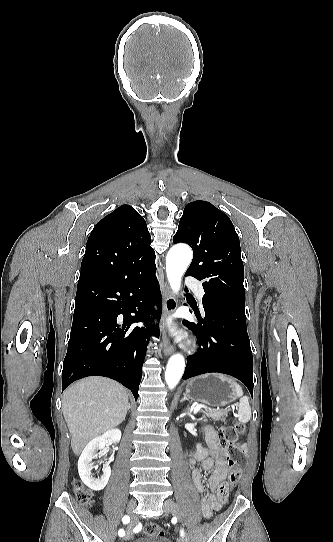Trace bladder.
Returning a JSON list of instances; mask_svg holds the SVG:
<instances>
[{
    "instance_id": "obj_1",
    "label": "bladder",
    "mask_w": 333,
    "mask_h": 542,
    "mask_svg": "<svg viewBox=\"0 0 333 542\" xmlns=\"http://www.w3.org/2000/svg\"><path fill=\"white\" fill-rule=\"evenodd\" d=\"M134 542H173L170 538L164 536V535H145L141 537L138 540H135Z\"/></svg>"
}]
</instances>
